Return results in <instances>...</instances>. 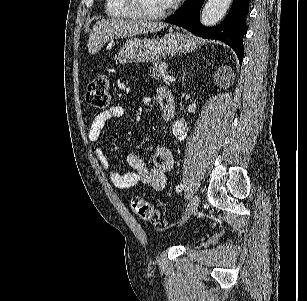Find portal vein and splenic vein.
<instances>
[{
  "mask_svg": "<svg viewBox=\"0 0 307 301\" xmlns=\"http://www.w3.org/2000/svg\"><path fill=\"white\" fill-rule=\"evenodd\" d=\"M163 80H175V78H173V76H169V74H164Z\"/></svg>",
  "mask_w": 307,
  "mask_h": 301,
  "instance_id": "portal-vein-and-splenic-vein-1",
  "label": "portal vein and splenic vein"
}]
</instances>
